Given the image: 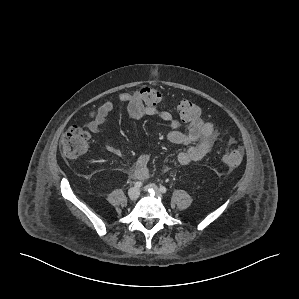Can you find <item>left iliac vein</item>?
<instances>
[{"label": "left iliac vein", "mask_w": 299, "mask_h": 299, "mask_svg": "<svg viewBox=\"0 0 299 299\" xmlns=\"http://www.w3.org/2000/svg\"><path fill=\"white\" fill-rule=\"evenodd\" d=\"M144 189H145L146 191H149V192L155 194V195L158 196V197H162V193H161V191H160V190L158 189V187H157L156 185H154V184L147 185V186L144 187Z\"/></svg>", "instance_id": "left-iliac-vein-1"}]
</instances>
